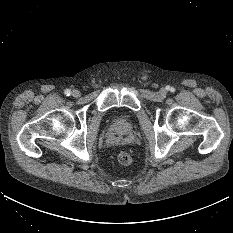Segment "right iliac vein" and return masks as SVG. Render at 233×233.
I'll return each instance as SVG.
<instances>
[{
    "label": "right iliac vein",
    "mask_w": 233,
    "mask_h": 233,
    "mask_svg": "<svg viewBox=\"0 0 233 233\" xmlns=\"http://www.w3.org/2000/svg\"><path fill=\"white\" fill-rule=\"evenodd\" d=\"M72 96L75 97V98L79 97L80 96V91L77 90V89L73 90L72 91Z\"/></svg>",
    "instance_id": "63e3f726"
}]
</instances>
